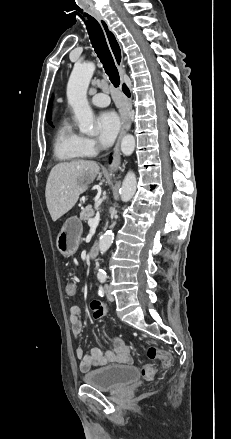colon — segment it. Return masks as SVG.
<instances>
[{
    "mask_svg": "<svg viewBox=\"0 0 231 439\" xmlns=\"http://www.w3.org/2000/svg\"><path fill=\"white\" fill-rule=\"evenodd\" d=\"M65 292L68 296H71L73 298H76L79 295V292L76 289V285L72 281H68L65 284ZM91 308L93 310V316L95 319H99L104 315L105 307L102 303L94 301L91 304ZM147 356L151 360L160 359L162 361V365L165 368L172 367L174 363V358L170 353L156 346H151L148 348ZM142 374L144 378H146L147 380H151L155 375V367L151 364L144 366V368L142 369Z\"/></svg>",
    "mask_w": 231,
    "mask_h": 439,
    "instance_id": "obj_1",
    "label": "colon"
}]
</instances>
